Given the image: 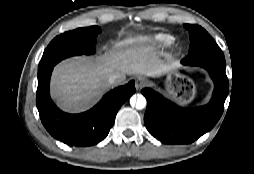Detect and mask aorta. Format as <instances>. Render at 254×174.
Masks as SVG:
<instances>
[{
	"label": "aorta",
	"instance_id": "762f6f07",
	"mask_svg": "<svg viewBox=\"0 0 254 174\" xmlns=\"http://www.w3.org/2000/svg\"><path fill=\"white\" fill-rule=\"evenodd\" d=\"M130 103L132 106H135L137 109H143L146 107V98L142 94H138L137 96H132Z\"/></svg>",
	"mask_w": 254,
	"mask_h": 174
}]
</instances>
